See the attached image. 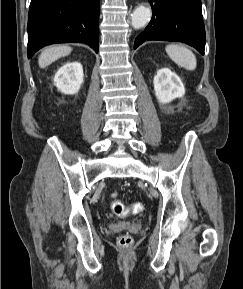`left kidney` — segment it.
<instances>
[{
  "mask_svg": "<svg viewBox=\"0 0 243 289\" xmlns=\"http://www.w3.org/2000/svg\"><path fill=\"white\" fill-rule=\"evenodd\" d=\"M153 83L155 95L160 103H169L185 94L181 79L168 68L158 70Z\"/></svg>",
  "mask_w": 243,
  "mask_h": 289,
  "instance_id": "left-kidney-1",
  "label": "left kidney"
}]
</instances>
